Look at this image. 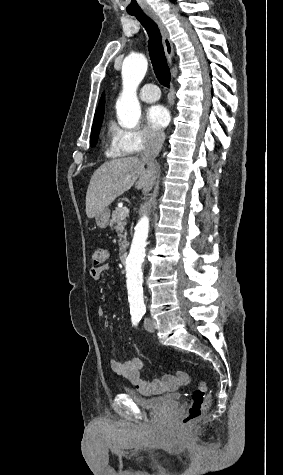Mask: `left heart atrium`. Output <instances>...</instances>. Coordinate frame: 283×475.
Listing matches in <instances>:
<instances>
[{
  "instance_id": "left-heart-atrium-1",
  "label": "left heart atrium",
  "mask_w": 283,
  "mask_h": 475,
  "mask_svg": "<svg viewBox=\"0 0 283 475\" xmlns=\"http://www.w3.org/2000/svg\"><path fill=\"white\" fill-rule=\"evenodd\" d=\"M146 117L149 125L156 130L164 129L170 122V113L168 109L162 105L150 107Z\"/></svg>"
}]
</instances>
